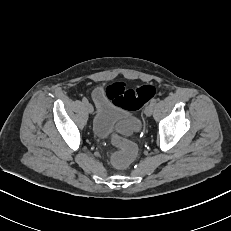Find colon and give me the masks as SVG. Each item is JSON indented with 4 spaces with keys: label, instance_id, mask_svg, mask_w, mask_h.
Returning <instances> with one entry per match:
<instances>
[{
    "label": "colon",
    "instance_id": "obj_1",
    "mask_svg": "<svg viewBox=\"0 0 231 231\" xmlns=\"http://www.w3.org/2000/svg\"><path fill=\"white\" fill-rule=\"evenodd\" d=\"M156 93L155 86L151 84L140 85L132 89L123 81L113 82L106 88V94L109 99L115 105L128 111L139 110ZM114 143L118 150L112 154L111 162L117 168L126 167L134 159L136 147L133 143L122 138H116Z\"/></svg>",
    "mask_w": 231,
    "mask_h": 231
}]
</instances>
